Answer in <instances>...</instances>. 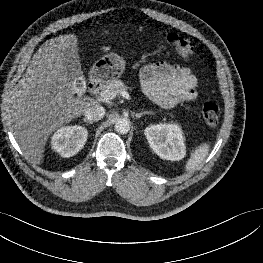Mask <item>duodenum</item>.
Returning <instances> with one entry per match:
<instances>
[{
    "mask_svg": "<svg viewBox=\"0 0 263 263\" xmlns=\"http://www.w3.org/2000/svg\"><path fill=\"white\" fill-rule=\"evenodd\" d=\"M100 87H101L100 82H98V81H96V80H93V81H91L90 84H89V91H90L91 93H96V92L99 91Z\"/></svg>",
    "mask_w": 263,
    "mask_h": 263,
    "instance_id": "1",
    "label": "duodenum"
}]
</instances>
